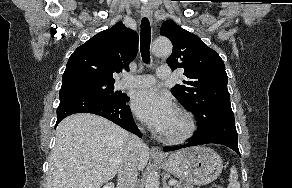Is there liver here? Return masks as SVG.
<instances>
[{"label":"liver","instance_id":"1","mask_svg":"<svg viewBox=\"0 0 292 188\" xmlns=\"http://www.w3.org/2000/svg\"><path fill=\"white\" fill-rule=\"evenodd\" d=\"M130 134L107 119L78 113L60 122L47 174V188H101L112 180L127 155ZM149 160L148 147L137 155V168Z\"/></svg>","mask_w":292,"mask_h":188}]
</instances>
